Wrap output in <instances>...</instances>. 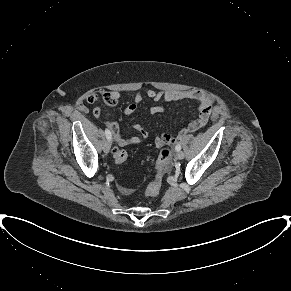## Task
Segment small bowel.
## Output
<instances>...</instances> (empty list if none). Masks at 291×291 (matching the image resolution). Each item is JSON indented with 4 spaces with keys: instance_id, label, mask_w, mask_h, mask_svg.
<instances>
[{
    "instance_id": "obj_1",
    "label": "small bowel",
    "mask_w": 291,
    "mask_h": 291,
    "mask_svg": "<svg viewBox=\"0 0 291 291\" xmlns=\"http://www.w3.org/2000/svg\"><path fill=\"white\" fill-rule=\"evenodd\" d=\"M113 95L118 98L119 94L113 92ZM146 96L155 102L161 100L165 102H177V101H187L192 100L197 102V115L195 118L181 130L176 137H172L169 134H161L156 137V145L159 147L172 146L177 144L182 137L188 132H195L202 128L210 115L211 108L213 105L212 99L202 91L187 90V91H156L149 89L146 91ZM97 95L91 94L87 97V102L93 104L97 101ZM143 95L138 93L134 96L133 101L124 109L125 115H130L134 113L137 109L138 104L142 101ZM164 107L160 105H155L150 108L152 114H160L164 112ZM93 115L98 117L100 115V109L98 107L94 108ZM108 128L111 131L113 138L119 147H124L130 144H137L148 137V133L139 124L134 126L135 130L140 134V137L134 136L131 138H122L119 133V125L116 121H109L107 123ZM121 192L125 195L132 193V189L127 187H121Z\"/></svg>"
}]
</instances>
